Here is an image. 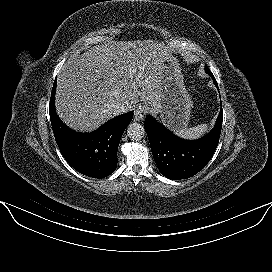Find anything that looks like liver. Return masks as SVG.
I'll return each instance as SVG.
<instances>
[{
  "label": "liver",
  "mask_w": 272,
  "mask_h": 272,
  "mask_svg": "<svg viewBox=\"0 0 272 272\" xmlns=\"http://www.w3.org/2000/svg\"><path fill=\"white\" fill-rule=\"evenodd\" d=\"M172 55L163 42L113 41L74 56L58 75L56 111L70 128L89 132L116 116L114 106L155 104L164 61Z\"/></svg>",
  "instance_id": "6515ba94"
}]
</instances>
